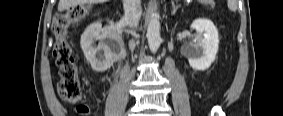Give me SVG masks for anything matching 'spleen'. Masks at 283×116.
Instances as JSON below:
<instances>
[{
    "label": "spleen",
    "mask_w": 283,
    "mask_h": 116,
    "mask_svg": "<svg viewBox=\"0 0 283 116\" xmlns=\"http://www.w3.org/2000/svg\"><path fill=\"white\" fill-rule=\"evenodd\" d=\"M228 4V8L231 10V11H236L237 10V1L236 0H228L227 2Z\"/></svg>",
    "instance_id": "3e777b00"
}]
</instances>
